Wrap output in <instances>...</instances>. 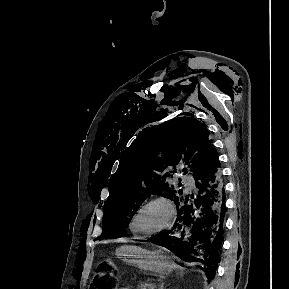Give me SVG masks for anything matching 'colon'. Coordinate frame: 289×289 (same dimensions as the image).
Instances as JSON below:
<instances>
[{
  "instance_id": "obj_1",
  "label": "colon",
  "mask_w": 289,
  "mask_h": 289,
  "mask_svg": "<svg viewBox=\"0 0 289 289\" xmlns=\"http://www.w3.org/2000/svg\"><path fill=\"white\" fill-rule=\"evenodd\" d=\"M116 276L107 263H101L95 273L92 289H114Z\"/></svg>"
}]
</instances>
